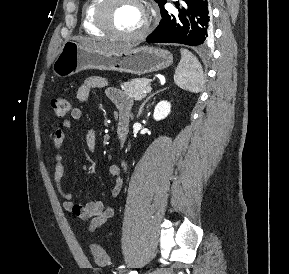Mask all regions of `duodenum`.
Returning <instances> with one entry per match:
<instances>
[{
	"mask_svg": "<svg viewBox=\"0 0 289 274\" xmlns=\"http://www.w3.org/2000/svg\"><path fill=\"white\" fill-rule=\"evenodd\" d=\"M129 124H130V115L125 112H121L119 114L118 123H117V137L120 142H124L128 131H129Z\"/></svg>",
	"mask_w": 289,
	"mask_h": 274,
	"instance_id": "obj_1",
	"label": "duodenum"
}]
</instances>
